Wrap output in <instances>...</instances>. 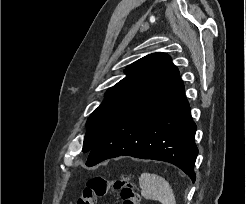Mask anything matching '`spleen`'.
I'll return each mask as SVG.
<instances>
[{"label": "spleen", "instance_id": "spleen-1", "mask_svg": "<svg viewBox=\"0 0 246 204\" xmlns=\"http://www.w3.org/2000/svg\"><path fill=\"white\" fill-rule=\"evenodd\" d=\"M139 185L145 199L159 201L162 204H176L173 189L163 177L144 172L139 178Z\"/></svg>", "mask_w": 246, "mask_h": 204}]
</instances>
